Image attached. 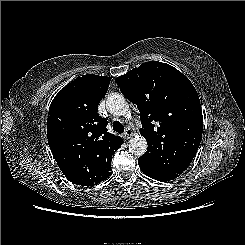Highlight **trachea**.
<instances>
[{"instance_id": "trachea-1", "label": "trachea", "mask_w": 245, "mask_h": 245, "mask_svg": "<svg viewBox=\"0 0 245 245\" xmlns=\"http://www.w3.org/2000/svg\"><path fill=\"white\" fill-rule=\"evenodd\" d=\"M113 130L118 132V133H122V132H124V125L122 123H120L119 121H114L113 122Z\"/></svg>"}]
</instances>
